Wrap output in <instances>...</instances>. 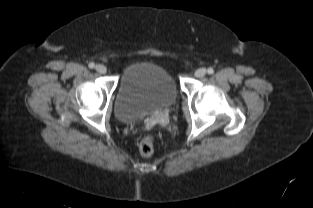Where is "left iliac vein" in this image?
Here are the masks:
<instances>
[{
	"instance_id": "1",
	"label": "left iliac vein",
	"mask_w": 313,
	"mask_h": 208,
	"mask_svg": "<svg viewBox=\"0 0 313 208\" xmlns=\"http://www.w3.org/2000/svg\"><path fill=\"white\" fill-rule=\"evenodd\" d=\"M206 74V69L205 68H199L195 71V76L198 78L204 77Z\"/></svg>"
}]
</instances>
